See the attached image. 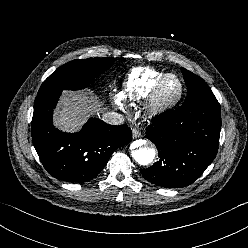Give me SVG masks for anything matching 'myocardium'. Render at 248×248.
Segmentation results:
<instances>
[{
	"label": "myocardium",
	"mask_w": 248,
	"mask_h": 248,
	"mask_svg": "<svg viewBox=\"0 0 248 248\" xmlns=\"http://www.w3.org/2000/svg\"><path fill=\"white\" fill-rule=\"evenodd\" d=\"M170 78H175L178 81L179 91L175 97L171 99H163L161 96V90L165 82ZM183 94L184 83L181 78L176 74L168 73L161 77L153 87L149 95V109L153 114L165 113L173 109L181 101Z\"/></svg>",
	"instance_id": "f54148a6"
}]
</instances>
